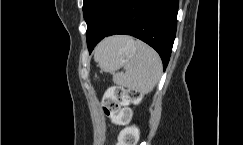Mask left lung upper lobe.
Segmentation results:
<instances>
[{
	"mask_svg": "<svg viewBox=\"0 0 243 145\" xmlns=\"http://www.w3.org/2000/svg\"><path fill=\"white\" fill-rule=\"evenodd\" d=\"M83 13L87 25L94 22L109 26L122 10L126 0H83Z\"/></svg>",
	"mask_w": 243,
	"mask_h": 145,
	"instance_id": "1",
	"label": "left lung upper lobe"
}]
</instances>
